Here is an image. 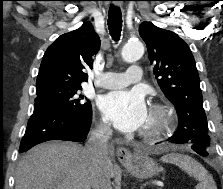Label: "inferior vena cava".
<instances>
[{"label": "inferior vena cava", "instance_id": "inferior-vena-cava-1", "mask_svg": "<svg viewBox=\"0 0 223 189\" xmlns=\"http://www.w3.org/2000/svg\"><path fill=\"white\" fill-rule=\"evenodd\" d=\"M112 135V129L107 124L97 125L90 133L86 145V153L91 160L90 183L93 189H112L108 172L107 142Z\"/></svg>", "mask_w": 223, "mask_h": 189}]
</instances>
